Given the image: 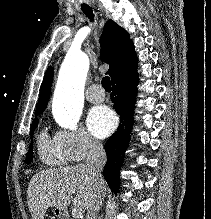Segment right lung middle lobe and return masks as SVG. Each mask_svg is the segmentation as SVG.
I'll return each instance as SVG.
<instances>
[{
    "mask_svg": "<svg viewBox=\"0 0 211 219\" xmlns=\"http://www.w3.org/2000/svg\"><path fill=\"white\" fill-rule=\"evenodd\" d=\"M39 114H40V113H37L36 115H39ZM37 124H38V119H35V120L33 121L32 125H31V135H33V132H34V130H35ZM32 158H33V151H32V144H31V146H30V148H29V151H28L27 158H26V163H27V164L31 163Z\"/></svg>",
    "mask_w": 211,
    "mask_h": 219,
    "instance_id": "right-lung-middle-lobe-1",
    "label": "right lung middle lobe"
}]
</instances>
